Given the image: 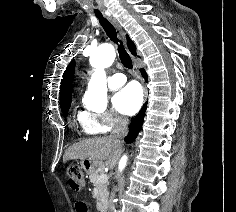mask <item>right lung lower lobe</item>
Instances as JSON below:
<instances>
[{
  "label": "right lung lower lobe",
  "mask_w": 236,
  "mask_h": 212,
  "mask_svg": "<svg viewBox=\"0 0 236 212\" xmlns=\"http://www.w3.org/2000/svg\"><path fill=\"white\" fill-rule=\"evenodd\" d=\"M140 72H141L142 76L144 77V79L147 81V74H146L145 70L140 69ZM146 108H147V103H145L143 105L140 112L137 114V116L131 122V124L129 126V133L124 139L127 143L133 142V140L136 138L137 134L140 132L142 124H143V119H144Z\"/></svg>",
  "instance_id": "1"
}]
</instances>
